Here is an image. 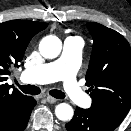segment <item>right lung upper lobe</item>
Returning a JSON list of instances; mask_svg holds the SVG:
<instances>
[{"instance_id": "right-lung-upper-lobe-1", "label": "right lung upper lobe", "mask_w": 131, "mask_h": 131, "mask_svg": "<svg viewBox=\"0 0 131 131\" xmlns=\"http://www.w3.org/2000/svg\"><path fill=\"white\" fill-rule=\"evenodd\" d=\"M47 23L12 20L0 23V131H12L19 122L30 96L6 83L13 67H18L31 38Z\"/></svg>"}]
</instances>
